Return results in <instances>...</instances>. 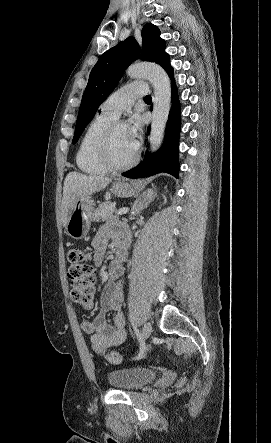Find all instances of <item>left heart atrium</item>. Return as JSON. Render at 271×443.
<instances>
[{"label": "left heart atrium", "instance_id": "obj_1", "mask_svg": "<svg viewBox=\"0 0 271 443\" xmlns=\"http://www.w3.org/2000/svg\"><path fill=\"white\" fill-rule=\"evenodd\" d=\"M128 132L130 139L134 145V147L137 149L140 145V139H141V128H142V122L139 117L133 118L130 124L127 125Z\"/></svg>", "mask_w": 271, "mask_h": 443}]
</instances>
